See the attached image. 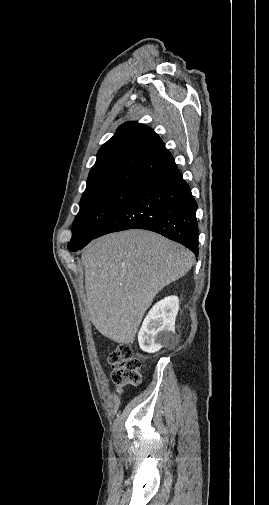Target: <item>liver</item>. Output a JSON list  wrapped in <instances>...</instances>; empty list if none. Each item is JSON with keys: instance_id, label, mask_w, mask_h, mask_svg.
Returning <instances> with one entry per match:
<instances>
[{"instance_id": "1", "label": "liver", "mask_w": 269, "mask_h": 505, "mask_svg": "<svg viewBox=\"0 0 269 505\" xmlns=\"http://www.w3.org/2000/svg\"><path fill=\"white\" fill-rule=\"evenodd\" d=\"M193 253L157 233L127 230L92 241L82 255L90 319L105 337L133 343L146 310L184 276Z\"/></svg>"}]
</instances>
